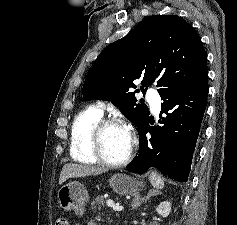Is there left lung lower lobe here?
I'll list each match as a JSON object with an SVG mask.
<instances>
[{
  "instance_id": "left-lung-lower-lobe-1",
  "label": "left lung lower lobe",
  "mask_w": 237,
  "mask_h": 225,
  "mask_svg": "<svg viewBox=\"0 0 237 225\" xmlns=\"http://www.w3.org/2000/svg\"><path fill=\"white\" fill-rule=\"evenodd\" d=\"M209 86L207 76L196 86L186 85L173 92L161 94L159 123L154 126L151 117L142 123L139 131V153L127 166L134 173H145L156 167L169 178L186 182L191 161L206 109ZM151 134L147 139L146 134Z\"/></svg>"
}]
</instances>
